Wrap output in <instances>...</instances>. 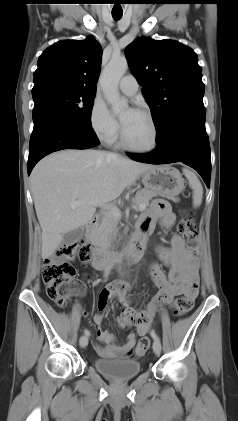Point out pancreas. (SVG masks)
<instances>
[{
  "mask_svg": "<svg viewBox=\"0 0 238 421\" xmlns=\"http://www.w3.org/2000/svg\"><path fill=\"white\" fill-rule=\"evenodd\" d=\"M158 195L159 192L155 190L142 189L136 193L132 202L138 207L143 205L146 208L149 205L150 200ZM119 220V217L114 216L112 213H107L104 216L101 223L93 232V236L100 245L106 247L110 246L112 239L117 235Z\"/></svg>",
  "mask_w": 238,
  "mask_h": 421,
  "instance_id": "pancreas-1",
  "label": "pancreas"
}]
</instances>
